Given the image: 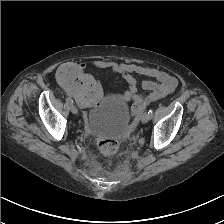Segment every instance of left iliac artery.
I'll return each instance as SVG.
<instances>
[{
	"instance_id": "obj_1",
	"label": "left iliac artery",
	"mask_w": 224,
	"mask_h": 224,
	"mask_svg": "<svg viewBox=\"0 0 224 224\" xmlns=\"http://www.w3.org/2000/svg\"><path fill=\"white\" fill-rule=\"evenodd\" d=\"M148 114H149L150 117L152 118V116H153V109H150V110L148 111Z\"/></svg>"
}]
</instances>
